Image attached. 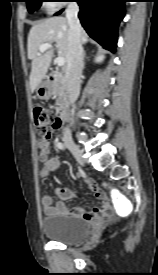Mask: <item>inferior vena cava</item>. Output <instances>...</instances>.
I'll return each mask as SVG.
<instances>
[{
    "label": "inferior vena cava",
    "instance_id": "1",
    "mask_svg": "<svg viewBox=\"0 0 158 275\" xmlns=\"http://www.w3.org/2000/svg\"><path fill=\"white\" fill-rule=\"evenodd\" d=\"M79 6L76 2H72L67 6L66 19L69 25L68 31V50H67V66H66V87L69 96V102L73 104L80 93V78L82 75L83 63V47L81 44V24L78 19ZM65 136H71L69 128L64 129Z\"/></svg>",
    "mask_w": 158,
    "mask_h": 275
}]
</instances>
